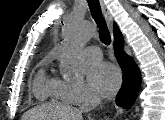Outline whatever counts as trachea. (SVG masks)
I'll use <instances>...</instances> for the list:
<instances>
[{
	"label": "trachea",
	"mask_w": 165,
	"mask_h": 120,
	"mask_svg": "<svg viewBox=\"0 0 165 120\" xmlns=\"http://www.w3.org/2000/svg\"><path fill=\"white\" fill-rule=\"evenodd\" d=\"M90 12L99 28V37L102 43L110 45L111 36L108 31L105 19L101 12V6L98 0H87Z\"/></svg>",
	"instance_id": "3493384b"
}]
</instances>
